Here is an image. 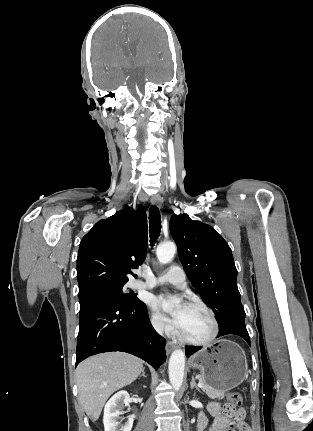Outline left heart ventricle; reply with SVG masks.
<instances>
[{"mask_svg": "<svg viewBox=\"0 0 313 431\" xmlns=\"http://www.w3.org/2000/svg\"><path fill=\"white\" fill-rule=\"evenodd\" d=\"M181 316L179 331L192 340H206L213 332L209 315L202 309L183 306L177 310Z\"/></svg>", "mask_w": 313, "mask_h": 431, "instance_id": "b2bd125f", "label": "left heart ventricle"}]
</instances>
